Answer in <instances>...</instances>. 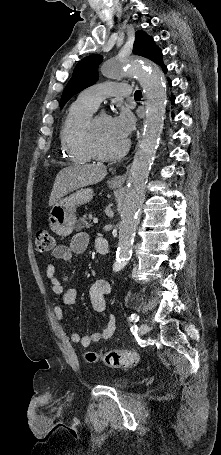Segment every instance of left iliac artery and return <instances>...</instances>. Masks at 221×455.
Listing matches in <instances>:
<instances>
[{
    "label": "left iliac artery",
    "mask_w": 221,
    "mask_h": 455,
    "mask_svg": "<svg viewBox=\"0 0 221 455\" xmlns=\"http://www.w3.org/2000/svg\"><path fill=\"white\" fill-rule=\"evenodd\" d=\"M139 320V316L137 314H132L130 317V321L137 322Z\"/></svg>",
    "instance_id": "1"
}]
</instances>
